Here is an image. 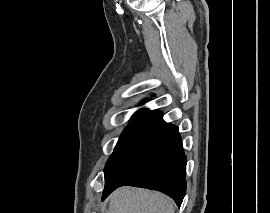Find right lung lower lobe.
Returning a JSON list of instances; mask_svg holds the SVG:
<instances>
[{"label": "right lung lower lobe", "instance_id": "obj_1", "mask_svg": "<svg viewBox=\"0 0 270 213\" xmlns=\"http://www.w3.org/2000/svg\"><path fill=\"white\" fill-rule=\"evenodd\" d=\"M104 200L123 185L161 191L181 205L186 193V157L179 130L151 112L105 168Z\"/></svg>", "mask_w": 270, "mask_h": 213}]
</instances>
